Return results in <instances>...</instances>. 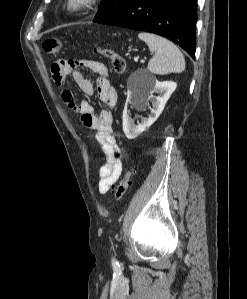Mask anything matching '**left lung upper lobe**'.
<instances>
[{
    "instance_id": "left-lung-upper-lobe-1",
    "label": "left lung upper lobe",
    "mask_w": 247,
    "mask_h": 299,
    "mask_svg": "<svg viewBox=\"0 0 247 299\" xmlns=\"http://www.w3.org/2000/svg\"><path fill=\"white\" fill-rule=\"evenodd\" d=\"M123 0H102L100 9L93 19V22L108 16L122 3Z\"/></svg>"
}]
</instances>
